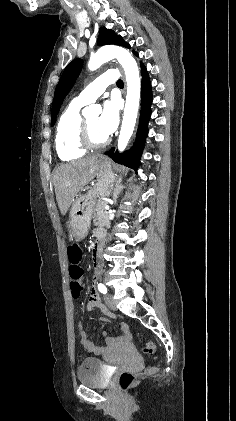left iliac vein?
I'll use <instances>...</instances> for the list:
<instances>
[{
  "label": "left iliac vein",
  "instance_id": "obj_1",
  "mask_svg": "<svg viewBox=\"0 0 236 421\" xmlns=\"http://www.w3.org/2000/svg\"><path fill=\"white\" fill-rule=\"evenodd\" d=\"M105 302L109 306L110 309L116 310L115 301H114L112 295L106 294L105 295Z\"/></svg>",
  "mask_w": 236,
  "mask_h": 421
}]
</instances>
